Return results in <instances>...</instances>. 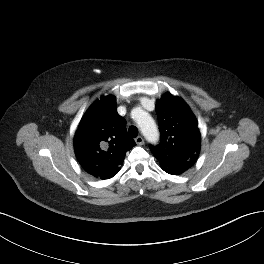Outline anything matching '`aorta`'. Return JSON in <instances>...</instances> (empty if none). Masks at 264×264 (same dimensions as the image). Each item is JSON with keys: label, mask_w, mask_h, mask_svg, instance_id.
I'll list each match as a JSON object with an SVG mask.
<instances>
[{"label": "aorta", "mask_w": 264, "mask_h": 264, "mask_svg": "<svg viewBox=\"0 0 264 264\" xmlns=\"http://www.w3.org/2000/svg\"><path fill=\"white\" fill-rule=\"evenodd\" d=\"M137 123L147 141L155 143L158 140L159 133L156 123L149 114L144 111H140Z\"/></svg>", "instance_id": "aorta-1"}]
</instances>
